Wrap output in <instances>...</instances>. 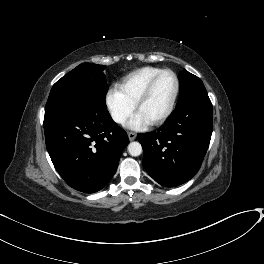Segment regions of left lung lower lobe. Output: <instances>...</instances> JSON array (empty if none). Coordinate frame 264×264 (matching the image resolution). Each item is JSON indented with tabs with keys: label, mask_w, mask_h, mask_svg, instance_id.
<instances>
[{
	"label": "left lung lower lobe",
	"mask_w": 264,
	"mask_h": 264,
	"mask_svg": "<svg viewBox=\"0 0 264 264\" xmlns=\"http://www.w3.org/2000/svg\"><path fill=\"white\" fill-rule=\"evenodd\" d=\"M213 130V107L208 94L180 104L157 131L138 134L143 166L160 185L175 187L200 169Z\"/></svg>",
	"instance_id": "1"
}]
</instances>
